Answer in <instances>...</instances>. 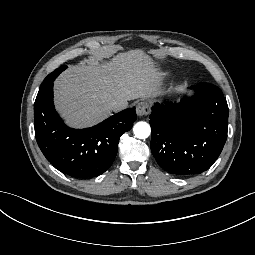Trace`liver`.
<instances>
[{"mask_svg":"<svg viewBox=\"0 0 255 255\" xmlns=\"http://www.w3.org/2000/svg\"><path fill=\"white\" fill-rule=\"evenodd\" d=\"M158 69L142 49L119 53L110 61L85 59L69 66L55 81V105L70 127L83 128L111 115L112 101L158 94Z\"/></svg>","mask_w":255,"mask_h":255,"instance_id":"1","label":"liver"}]
</instances>
